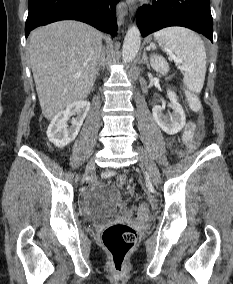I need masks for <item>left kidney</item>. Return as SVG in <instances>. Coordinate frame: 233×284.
I'll list each match as a JSON object with an SVG mask.
<instances>
[{"instance_id":"left-kidney-1","label":"left kidney","mask_w":233,"mask_h":284,"mask_svg":"<svg viewBox=\"0 0 233 284\" xmlns=\"http://www.w3.org/2000/svg\"><path fill=\"white\" fill-rule=\"evenodd\" d=\"M167 95L171 101L173 112L170 116L163 114V108L160 105H155L152 109L153 117L158 126L167 134L174 135L182 130L186 123L185 112L177 100V95L168 90Z\"/></svg>"}]
</instances>
